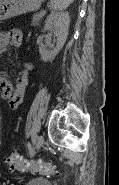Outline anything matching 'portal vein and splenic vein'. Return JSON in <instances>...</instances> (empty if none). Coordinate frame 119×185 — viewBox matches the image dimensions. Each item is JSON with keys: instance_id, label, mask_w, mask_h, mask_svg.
<instances>
[{"instance_id": "portal-vein-and-splenic-vein-1", "label": "portal vein and splenic vein", "mask_w": 119, "mask_h": 185, "mask_svg": "<svg viewBox=\"0 0 119 185\" xmlns=\"http://www.w3.org/2000/svg\"><path fill=\"white\" fill-rule=\"evenodd\" d=\"M45 12H46L45 10H42L40 13H41V14H45Z\"/></svg>"}]
</instances>
